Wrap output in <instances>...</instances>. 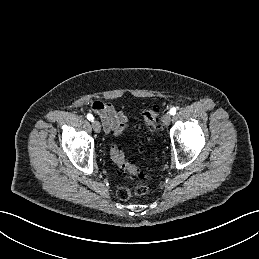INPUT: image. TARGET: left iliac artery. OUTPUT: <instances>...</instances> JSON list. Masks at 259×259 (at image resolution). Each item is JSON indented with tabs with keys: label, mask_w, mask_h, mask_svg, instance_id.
Listing matches in <instances>:
<instances>
[{
	"label": "left iliac artery",
	"mask_w": 259,
	"mask_h": 259,
	"mask_svg": "<svg viewBox=\"0 0 259 259\" xmlns=\"http://www.w3.org/2000/svg\"><path fill=\"white\" fill-rule=\"evenodd\" d=\"M176 111H177L176 108L173 107V108L170 109L169 113H170V115H175Z\"/></svg>",
	"instance_id": "left-iliac-artery-1"
}]
</instances>
